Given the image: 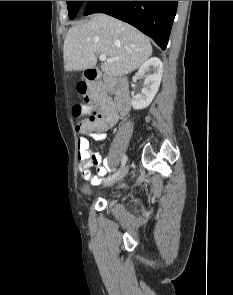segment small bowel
Wrapping results in <instances>:
<instances>
[{
  "instance_id": "obj_1",
  "label": "small bowel",
  "mask_w": 233,
  "mask_h": 295,
  "mask_svg": "<svg viewBox=\"0 0 233 295\" xmlns=\"http://www.w3.org/2000/svg\"><path fill=\"white\" fill-rule=\"evenodd\" d=\"M98 103L103 111V116L94 125L78 129L80 132L90 133L97 141L106 139V131L112 128L119 119L117 101L113 100L107 93L102 94ZM77 155L80 161V172L83 178L95 185L102 181L107 171L113 170L107 158H103L98 152L90 150L87 137L80 136L77 143ZM92 165L98 166V176L91 173Z\"/></svg>"
}]
</instances>
